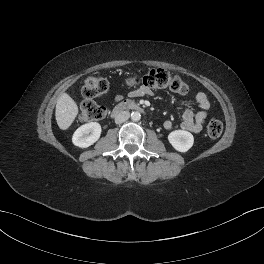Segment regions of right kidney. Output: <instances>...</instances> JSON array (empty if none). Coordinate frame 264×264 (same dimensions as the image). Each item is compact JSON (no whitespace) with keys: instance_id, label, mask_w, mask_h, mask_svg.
<instances>
[{"instance_id":"1","label":"right kidney","mask_w":264,"mask_h":264,"mask_svg":"<svg viewBox=\"0 0 264 264\" xmlns=\"http://www.w3.org/2000/svg\"><path fill=\"white\" fill-rule=\"evenodd\" d=\"M101 135V126L97 122H90L79 127L73 134L72 142L80 148H87L94 144Z\"/></svg>"}]
</instances>
